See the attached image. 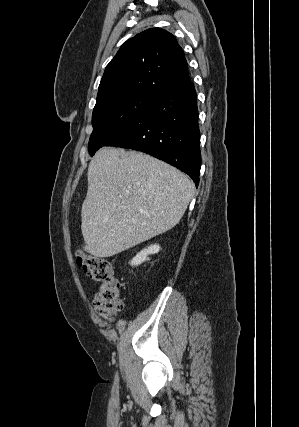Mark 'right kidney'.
I'll return each instance as SVG.
<instances>
[{"mask_svg":"<svg viewBox=\"0 0 299 427\" xmlns=\"http://www.w3.org/2000/svg\"><path fill=\"white\" fill-rule=\"evenodd\" d=\"M160 251V246L157 244L151 245L148 248L141 250L130 262L132 266H138L149 260V255L156 254Z\"/></svg>","mask_w":299,"mask_h":427,"instance_id":"obj_1","label":"right kidney"}]
</instances>
